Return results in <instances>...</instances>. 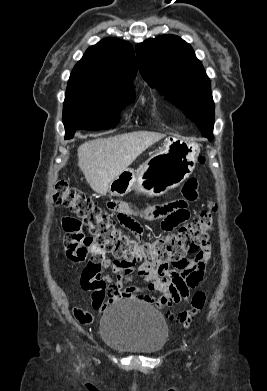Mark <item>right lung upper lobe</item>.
<instances>
[{"label":"right lung upper lobe","instance_id":"right-lung-upper-lobe-1","mask_svg":"<svg viewBox=\"0 0 267 391\" xmlns=\"http://www.w3.org/2000/svg\"><path fill=\"white\" fill-rule=\"evenodd\" d=\"M136 71L131 44L107 38L88 48L74 66L69 82L89 81L110 90L134 92L132 80Z\"/></svg>","mask_w":267,"mask_h":391}]
</instances>
